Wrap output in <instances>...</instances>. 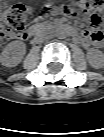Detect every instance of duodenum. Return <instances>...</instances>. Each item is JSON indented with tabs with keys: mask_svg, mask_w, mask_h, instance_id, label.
Segmentation results:
<instances>
[{
	"mask_svg": "<svg viewBox=\"0 0 104 137\" xmlns=\"http://www.w3.org/2000/svg\"><path fill=\"white\" fill-rule=\"evenodd\" d=\"M43 28L41 26L35 25L28 29V31L25 33L26 37L34 36L40 32H42Z\"/></svg>",
	"mask_w": 104,
	"mask_h": 137,
	"instance_id": "1",
	"label": "duodenum"
}]
</instances>
